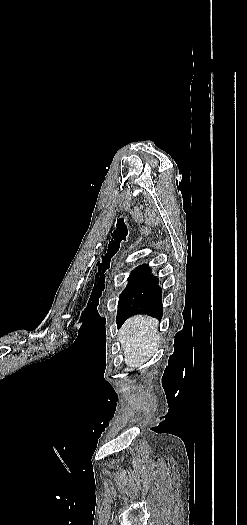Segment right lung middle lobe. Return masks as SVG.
Segmentation results:
<instances>
[{
  "instance_id": "1",
  "label": "right lung middle lobe",
  "mask_w": 247,
  "mask_h": 525,
  "mask_svg": "<svg viewBox=\"0 0 247 525\" xmlns=\"http://www.w3.org/2000/svg\"><path fill=\"white\" fill-rule=\"evenodd\" d=\"M149 267L141 270H134L131 272L129 278H128V284L124 291L120 294L119 302H118V313L117 318L120 316L122 308L127 300V298L131 295V293L135 290V288L138 286V284L144 279L146 274L149 271Z\"/></svg>"
}]
</instances>
